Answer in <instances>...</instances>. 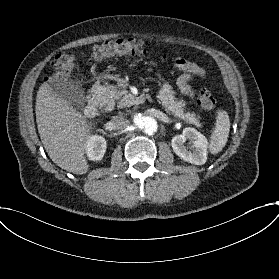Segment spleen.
<instances>
[{
	"label": "spleen",
	"mask_w": 279,
	"mask_h": 279,
	"mask_svg": "<svg viewBox=\"0 0 279 279\" xmlns=\"http://www.w3.org/2000/svg\"><path fill=\"white\" fill-rule=\"evenodd\" d=\"M230 133V119L226 111H218L213 131L210 134L208 150L213 156L219 154L227 144Z\"/></svg>",
	"instance_id": "spleen-1"
}]
</instances>
